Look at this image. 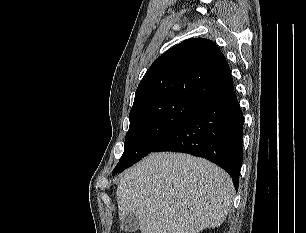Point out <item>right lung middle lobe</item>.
<instances>
[{
	"label": "right lung middle lobe",
	"mask_w": 306,
	"mask_h": 233,
	"mask_svg": "<svg viewBox=\"0 0 306 233\" xmlns=\"http://www.w3.org/2000/svg\"><path fill=\"white\" fill-rule=\"evenodd\" d=\"M202 105L189 99H157L130 111L124 153L112 175L130 167L161 144Z\"/></svg>",
	"instance_id": "1"
}]
</instances>
